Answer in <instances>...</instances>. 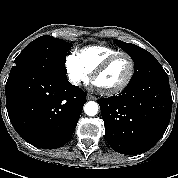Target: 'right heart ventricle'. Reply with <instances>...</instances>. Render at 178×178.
<instances>
[{"mask_svg":"<svg viewBox=\"0 0 178 178\" xmlns=\"http://www.w3.org/2000/svg\"><path fill=\"white\" fill-rule=\"evenodd\" d=\"M120 52L121 51L112 47L93 45L81 49L77 55L84 68L89 73H92L102 61Z\"/></svg>","mask_w":178,"mask_h":178,"instance_id":"right-heart-ventricle-1","label":"right heart ventricle"}]
</instances>
